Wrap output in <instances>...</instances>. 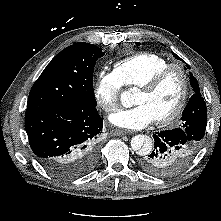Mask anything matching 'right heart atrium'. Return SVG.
<instances>
[{"label":"right heart atrium","mask_w":221,"mask_h":221,"mask_svg":"<svg viewBox=\"0 0 221 221\" xmlns=\"http://www.w3.org/2000/svg\"><path fill=\"white\" fill-rule=\"evenodd\" d=\"M122 85L114 72L100 71L94 86V97L105 112L117 109Z\"/></svg>","instance_id":"d8ad5b80"}]
</instances>
